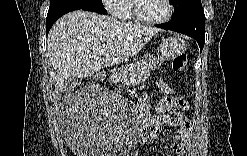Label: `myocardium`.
I'll return each mask as SVG.
<instances>
[{
  "label": "myocardium",
  "instance_id": "obj_1",
  "mask_svg": "<svg viewBox=\"0 0 247 156\" xmlns=\"http://www.w3.org/2000/svg\"><path fill=\"white\" fill-rule=\"evenodd\" d=\"M138 2H139L138 0H134L130 2V14L135 21L148 25H158L167 22L172 17L173 7L169 0H163L167 8V12L163 17L160 18H148L142 16L138 11Z\"/></svg>",
  "mask_w": 247,
  "mask_h": 156
}]
</instances>
